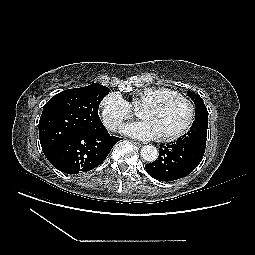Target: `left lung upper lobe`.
<instances>
[{
	"label": "left lung upper lobe",
	"mask_w": 255,
	"mask_h": 255,
	"mask_svg": "<svg viewBox=\"0 0 255 255\" xmlns=\"http://www.w3.org/2000/svg\"><path fill=\"white\" fill-rule=\"evenodd\" d=\"M188 95L193 100L196 107V117L191 131L198 128H208V111L204 105L203 99L198 94L188 92Z\"/></svg>",
	"instance_id": "left-lung-upper-lobe-1"
}]
</instances>
